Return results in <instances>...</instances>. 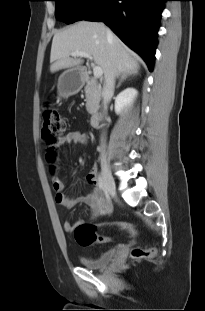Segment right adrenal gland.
Listing matches in <instances>:
<instances>
[{
    "label": "right adrenal gland",
    "instance_id": "1",
    "mask_svg": "<svg viewBox=\"0 0 205 311\" xmlns=\"http://www.w3.org/2000/svg\"><path fill=\"white\" fill-rule=\"evenodd\" d=\"M130 75H131V73L122 74L121 78H120V80H119V82H118V84L116 86V88H119L121 86V83L124 82L127 79V77L130 76Z\"/></svg>",
    "mask_w": 205,
    "mask_h": 311
}]
</instances>
